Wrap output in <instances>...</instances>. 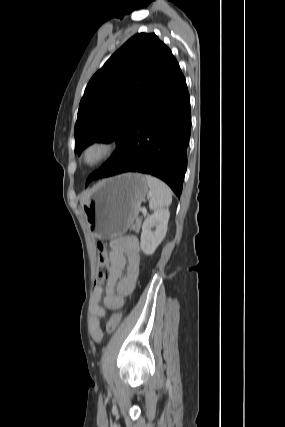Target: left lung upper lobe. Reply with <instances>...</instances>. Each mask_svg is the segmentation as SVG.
I'll return each instance as SVG.
<instances>
[{"label": "left lung upper lobe", "mask_w": 285, "mask_h": 427, "mask_svg": "<svg viewBox=\"0 0 285 427\" xmlns=\"http://www.w3.org/2000/svg\"><path fill=\"white\" fill-rule=\"evenodd\" d=\"M171 57L153 33L136 34L118 49L85 89L75 124V152L95 141L120 145Z\"/></svg>", "instance_id": "left-lung-upper-lobe-1"}]
</instances>
